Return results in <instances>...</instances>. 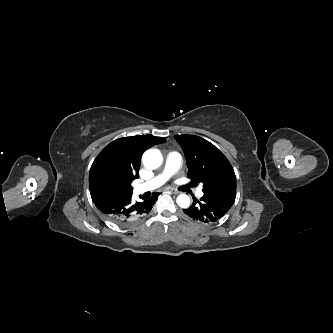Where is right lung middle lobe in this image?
I'll return each instance as SVG.
<instances>
[{"label": "right lung middle lobe", "instance_id": "right-lung-middle-lobe-1", "mask_svg": "<svg viewBox=\"0 0 333 333\" xmlns=\"http://www.w3.org/2000/svg\"><path fill=\"white\" fill-rule=\"evenodd\" d=\"M121 171L114 168H104L99 174V182L104 191L132 193L131 182Z\"/></svg>", "mask_w": 333, "mask_h": 333}]
</instances>
